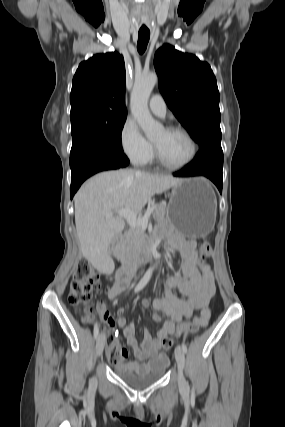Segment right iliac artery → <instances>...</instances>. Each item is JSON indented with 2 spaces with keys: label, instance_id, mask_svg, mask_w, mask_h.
<instances>
[{
  "label": "right iliac artery",
  "instance_id": "1",
  "mask_svg": "<svg viewBox=\"0 0 285 427\" xmlns=\"http://www.w3.org/2000/svg\"><path fill=\"white\" fill-rule=\"evenodd\" d=\"M152 271L153 269L150 268L147 270V272L145 273V275L143 276V278L140 280V282L137 284V286L135 287V292L140 291L141 289L144 288V286L149 282L151 275H152ZM99 334V328L97 325H95L94 327V338L96 339L98 337Z\"/></svg>",
  "mask_w": 285,
  "mask_h": 427
}]
</instances>
